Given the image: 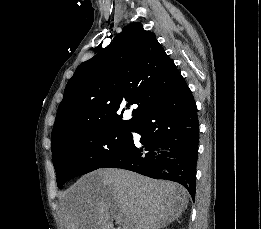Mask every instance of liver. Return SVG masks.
Wrapping results in <instances>:
<instances>
[{
	"label": "liver",
	"mask_w": 261,
	"mask_h": 229,
	"mask_svg": "<svg viewBox=\"0 0 261 229\" xmlns=\"http://www.w3.org/2000/svg\"><path fill=\"white\" fill-rule=\"evenodd\" d=\"M188 191L124 169H97L76 181L63 199L66 229H163L187 209Z\"/></svg>",
	"instance_id": "liver-1"
}]
</instances>
